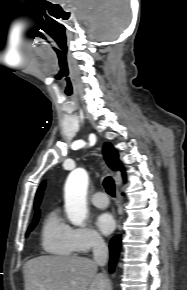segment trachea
Instances as JSON below:
<instances>
[{"instance_id":"trachea-1","label":"trachea","mask_w":187,"mask_h":290,"mask_svg":"<svg viewBox=\"0 0 187 290\" xmlns=\"http://www.w3.org/2000/svg\"><path fill=\"white\" fill-rule=\"evenodd\" d=\"M103 185L106 192L112 197H115V183H114V180L110 176H107L104 179Z\"/></svg>"}]
</instances>
